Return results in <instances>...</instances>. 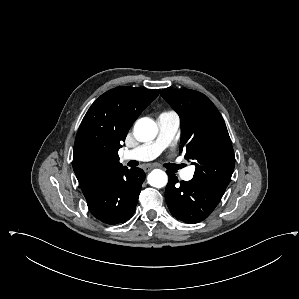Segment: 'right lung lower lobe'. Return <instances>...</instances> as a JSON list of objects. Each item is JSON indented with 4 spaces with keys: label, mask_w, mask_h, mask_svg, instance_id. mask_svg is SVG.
Returning a JSON list of instances; mask_svg holds the SVG:
<instances>
[{
    "label": "right lung lower lobe",
    "mask_w": 299,
    "mask_h": 299,
    "mask_svg": "<svg viewBox=\"0 0 299 299\" xmlns=\"http://www.w3.org/2000/svg\"><path fill=\"white\" fill-rule=\"evenodd\" d=\"M144 179L139 168L122 167L107 174L85 195L90 212L111 225L127 221L135 211Z\"/></svg>",
    "instance_id": "1"
}]
</instances>
